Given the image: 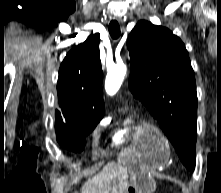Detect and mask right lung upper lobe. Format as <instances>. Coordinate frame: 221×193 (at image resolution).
Listing matches in <instances>:
<instances>
[{
  "mask_svg": "<svg viewBox=\"0 0 221 193\" xmlns=\"http://www.w3.org/2000/svg\"><path fill=\"white\" fill-rule=\"evenodd\" d=\"M99 41V34L90 35L68 52L61 63L57 91L62 114L56 111V119L104 116Z\"/></svg>",
  "mask_w": 221,
  "mask_h": 193,
  "instance_id": "cb5924a9",
  "label": "right lung upper lobe"
}]
</instances>
